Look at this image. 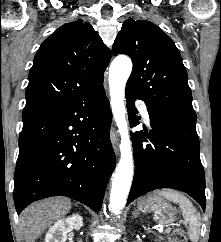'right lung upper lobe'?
Listing matches in <instances>:
<instances>
[{
  "instance_id": "obj_1",
  "label": "right lung upper lobe",
  "mask_w": 221,
  "mask_h": 242,
  "mask_svg": "<svg viewBox=\"0 0 221 242\" xmlns=\"http://www.w3.org/2000/svg\"><path fill=\"white\" fill-rule=\"evenodd\" d=\"M111 56L88 22L62 25L34 57L22 117L63 107L102 83Z\"/></svg>"
}]
</instances>
